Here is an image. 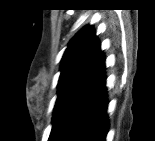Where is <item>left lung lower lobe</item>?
<instances>
[{
	"label": "left lung lower lobe",
	"instance_id": "1",
	"mask_svg": "<svg viewBox=\"0 0 155 141\" xmlns=\"http://www.w3.org/2000/svg\"><path fill=\"white\" fill-rule=\"evenodd\" d=\"M108 103L104 58L90 83L65 115L57 141H106Z\"/></svg>",
	"mask_w": 155,
	"mask_h": 141
}]
</instances>
